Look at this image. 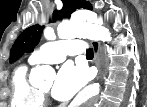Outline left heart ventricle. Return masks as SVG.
Returning <instances> with one entry per match:
<instances>
[{
    "label": "left heart ventricle",
    "mask_w": 147,
    "mask_h": 107,
    "mask_svg": "<svg viewBox=\"0 0 147 107\" xmlns=\"http://www.w3.org/2000/svg\"><path fill=\"white\" fill-rule=\"evenodd\" d=\"M52 85H53V81H50V82L44 84V85L41 87V89H43V90L49 92V91L51 90V88H52Z\"/></svg>",
    "instance_id": "left-heart-ventricle-1"
}]
</instances>
